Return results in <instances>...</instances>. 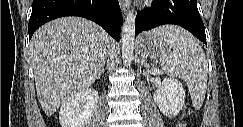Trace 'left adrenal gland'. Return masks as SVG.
I'll return each mask as SVG.
<instances>
[{
  "mask_svg": "<svg viewBox=\"0 0 243 127\" xmlns=\"http://www.w3.org/2000/svg\"><path fill=\"white\" fill-rule=\"evenodd\" d=\"M140 64L141 66H144L147 71H149V65L147 64L144 56H140Z\"/></svg>",
  "mask_w": 243,
  "mask_h": 127,
  "instance_id": "obj_1",
  "label": "left adrenal gland"
}]
</instances>
